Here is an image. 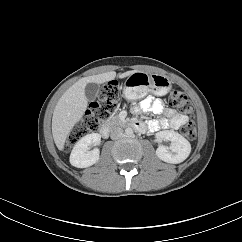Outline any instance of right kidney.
I'll list each match as a JSON object with an SVG mask.
<instances>
[{
	"instance_id": "ca27d5eb",
	"label": "right kidney",
	"mask_w": 242,
	"mask_h": 242,
	"mask_svg": "<svg viewBox=\"0 0 242 242\" xmlns=\"http://www.w3.org/2000/svg\"><path fill=\"white\" fill-rule=\"evenodd\" d=\"M101 136L98 133L87 134L73 147L70 154V163L77 168H86L99 160V149L89 150L90 147L100 144Z\"/></svg>"
}]
</instances>
